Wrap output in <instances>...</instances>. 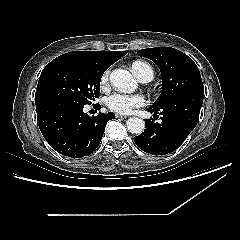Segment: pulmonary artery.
<instances>
[{
	"instance_id": "pulmonary-artery-1",
	"label": "pulmonary artery",
	"mask_w": 240,
	"mask_h": 240,
	"mask_svg": "<svg viewBox=\"0 0 240 240\" xmlns=\"http://www.w3.org/2000/svg\"><path fill=\"white\" fill-rule=\"evenodd\" d=\"M143 82H147V80H143Z\"/></svg>"
}]
</instances>
